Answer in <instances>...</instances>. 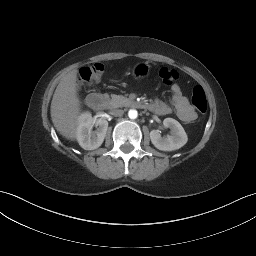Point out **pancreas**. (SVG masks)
I'll use <instances>...</instances> for the list:
<instances>
[{"label": "pancreas", "mask_w": 256, "mask_h": 256, "mask_svg": "<svg viewBox=\"0 0 256 256\" xmlns=\"http://www.w3.org/2000/svg\"><path fill=\"white\" fill-rule=\"evenodd\" d=\"M104 97L111 108L123 107L130 103V100L122 95L111 94V96H109L105 94Z\"/></svg>", "instance_id": "cf45deb5"}]
</instances>
